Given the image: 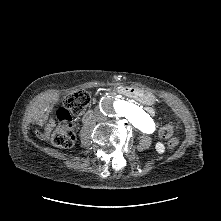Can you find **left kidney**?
I'll return each mask as SVG.
<instances>
[{
	"label": "left kidney",
	"instance_id": "obj_1",
	"mask_svg": "<svg viewBox=\"0 0 221 221\" xmlns=\"http://www.w3.org/2000/svg\"><path fill=\"white\" fill-rule=\"evenodd\" d=\"M155 149L156 151L159 153V154H162L165 152V146L163 143L161 142H157L156 145H155Z\"/></svg>",
	"mask_w": 221,
	"mask_h": 221
}]
</instances>
